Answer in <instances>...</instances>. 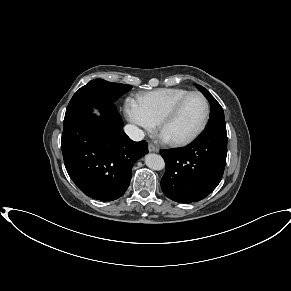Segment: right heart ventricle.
Listing matches in <instances>:
<instances>
[{
	"label": "right heart ventricle",
	"instance_id": "1",
	"mask_svg": "<svg viewBox=\"0 0 291 291\" xmlns=\"http://www.w3.org/2000/svg\"><path fill=\"white\" fill-rule=\"evenodd\" d=\"M190 91L182 88L158 89L140 95L138 102L142 106L147 116L158 123L161 118Z\"/></svg>",
	"mask_w": 291,
	"mask_h": 291
}]
</instances>
